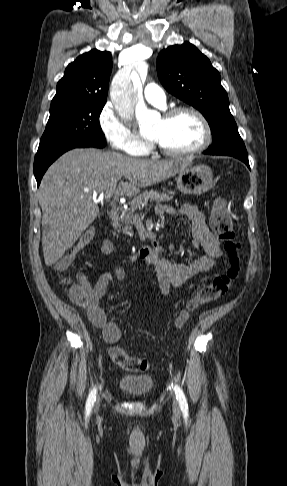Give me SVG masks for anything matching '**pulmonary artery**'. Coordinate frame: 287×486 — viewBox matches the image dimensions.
Returning a JSON list of instances; mask_svg holds the SVG:
<instances>
[{"label":"pulmonary artery","instance_id":"1","mask_svg":"<svg viewBox=\"0 0 287 486\" xmlns=\"http://www.w3.org/2000/svg\"><path fill=\"white\" fill-rule=\"evenodd\" d=\"M145 99L158 107H164L166 103V96L163 89L155 83H149L144 88Z\"/></svg>","mask_w":287,"mask_h":486}]
</instances>
